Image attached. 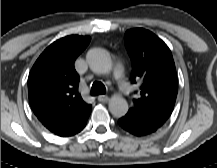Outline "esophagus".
<instances>
[{"instance_id":"obj_1","label":"esophagus","mask_w":217,"mask_h":168,"mask_svg":"<svg viewBox=\"0 0 217 168\" xmlns=\"http://www.w3.org/2000/svg\"><path fill=\"white\" fill-rule=\"evenodd\" d=\"M97 99L101 103H106V102H108L109 97L107 95H99Z\"/></svg>"}]
</instances>
